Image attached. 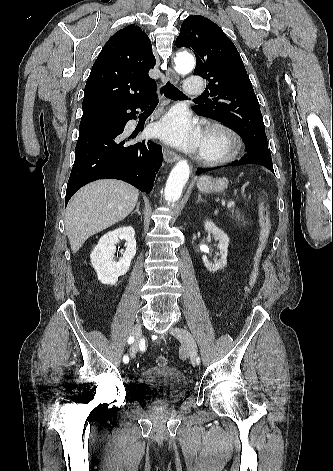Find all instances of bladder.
Wrapping results in <instances>:
<instances>
[{
  "instance_id": "1",
  "label": "bladder",
  "mask_w": 333,
  "mask_h": 471,
  "mask_svg": "<svg viewBox=\"0 0 333 471\" xmlns=\"http://www.w3.org/2000/svg\"><path fill=\"white\" fill-rule=\"evenodd\" d=\"M133 390L143 401L170 405L185 396L188 381L185 375L173 366H151L139 374Z\"/></svg>"
}]
</instances>
